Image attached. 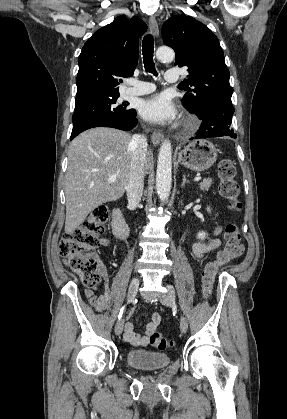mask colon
Wrapping results in <instances>:
<instances>
[{
	"label": "colon",
	"instance_id": "colon-1",
	"mask_svg": "<svg viewBox=\"0 0 287 419\" xmlns=\"http://www.w3.org/2000/svg\"><path fill=\"white\" fill-rule=\"evenodd\" d=\"M219 192L227 200L233 213L241 209L240 187L236 180V168L232 160L223 159L218 165ZM108 209L104 205L95 207L82 223L60 243V253L68 259L71 269L81 276L85 287L94 289L100 281L101 262L96 254L99 236L104 232ZM225 247L209 262L203 271L202 290L205 298L212 295L213 283L218 270L237 259L243 252L238 224L232 218L225 226ZM151 344L161 350L172 346V342L159 333L150 337Z\"/></svg>",
	"mask_w": 287,
	"mask_h": 419
}]
</instances>
